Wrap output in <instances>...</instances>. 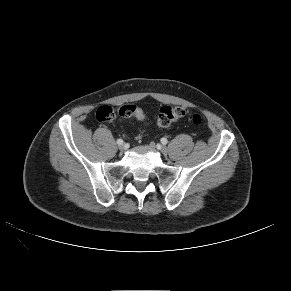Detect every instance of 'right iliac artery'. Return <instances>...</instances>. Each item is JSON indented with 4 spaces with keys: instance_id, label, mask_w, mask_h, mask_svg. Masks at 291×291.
Here are the masks:
<instances>
[{
    "instance_id": "1",
    "label": "right iliac artery",
    "mask_w": 291,
    "mask_h": 291,
    "mask_svg": "<svg viewBox=\"0 0 291 291\" xmlns=\"http://www.w3.org/2000/svg\"><path fill=\"white\" fill-rule=\"evenodd\" d=\"M117 144H118V145L123 144V140H122V139H118V140H117Z\"/></svg>"
}]
</instances>
